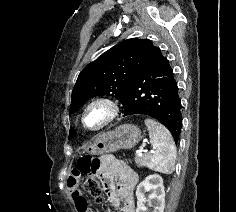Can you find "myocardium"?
<instances>
[{"label":"myocardium","mask_w":236,"mask_h":212,"mask_svg":"<svg viewBox=\"0 0 236 212\" xmlns=\"http://www.w3.org/2000/svg\"><path fill=\"white\" fill-rule=\"evenodd\" d=\"M95 107H102L105 110L106 115L104 120L98 126L90 127L86 124V116L88 112ZM118 114L119 106L114 100L107 97H96L85 105L81 114V123L86 130L98 131L113 122L117 118Z\"/></svg>","instance_id":"f54148a6"}]
</instances>
